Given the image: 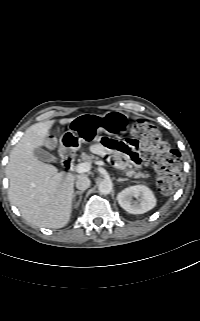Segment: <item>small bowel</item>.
Here are the masks:
<instances>
[{
    "mask_svg": "<svg viewBox=\"0 0 200 321\" xmlns=\"http://www.w3.org/2000/svg\"><path fill=\"white\" fill-rule=\"evenodd\" d=\"M103 149L111 151L108 155L111 163L123 167L129 161L135 165H145L147 158L145 154L136 147L137 141L130 135L117 138L102 134L98 138Z\"/></svg>",
    "mask_w": 200,
    "mask_h": 321,
    "instance_id": "c3829d8e",
    "label": "small bowel"
}]
</instances>
